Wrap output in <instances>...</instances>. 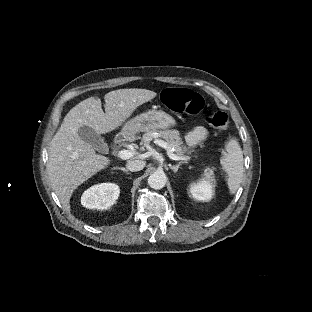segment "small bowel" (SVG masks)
<instances>
[{"instance_id":"c3829d8e","label":"small bowel","mask_w":312,"mask_h":312,"mask_svg":"<svg viewBox=\"0 0 312 312\" xmlns=\"http://www.w3.org/2000/svg\"><path fill=\"white\" fill-rule=\"evenodd\" d=\"M208 135V131L203 126H197L189 131L185 136V143L189 147H194L203 142Z\"/></svg>"}]
</instances>
